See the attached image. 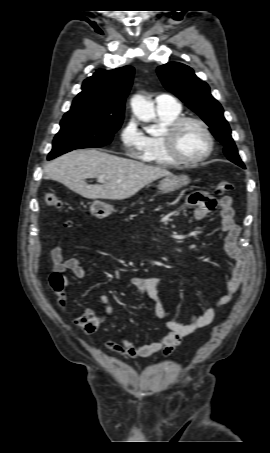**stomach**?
Returning <instances> with one entry per match:
<instances>
[{
  "label": "stomach",
  "mask_w": 270,
  "mask_h": 453,
  "mask_svg": "<svg viewBox=\"0 0 270 453\" xmlns=\"http://www.w3.org/2000/svg\"><path fill=\"white\" fill-rule=\"evenodd\" d=\"M190 183V179L187 175H169L161 180L159 184V189L163 192H172L176 191ZM115 209L112 205L104 203L102 201H94L90 206L91 214L98 218L103 219L108 217Z\"/></svg>",
  "instance_id": "obj_1"
}]
</instances>
